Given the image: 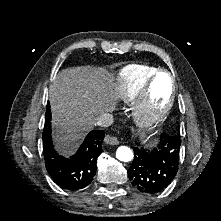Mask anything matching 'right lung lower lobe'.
<instances>
[{
	"instance_id": "obj_1",
	"label": "right lung lower lobe",
	"mask_w": 221,
	"mask_h": 221,
	"mask_svg": "<svg viewBox=\"0 0 221 221\" xmlns=\"http://www.w3.org/2000/svg\"><path fill=\"white\" fill-rule=\"evenodd\" d=\"M51 111L47 106L43 131V151L48 173L57 185L66 190H80L87 187L96 174V162L103 152L105 133L93 131L87 135L75 155L60 156L54 149L51 138Z\"/></svg>"
}]
</instances>
